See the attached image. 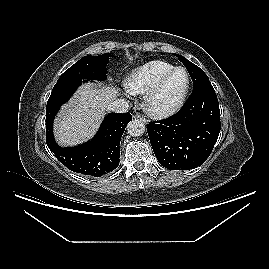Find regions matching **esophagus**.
<instances>
[{
  "instance_id": "34e87169",
  "label": "esophagus",
  "mask_w": 269,
  "mask_h": 269,
  "mask_svg": "<svg viewBox=\"0 0 269 269\" xmlns=\"http://www.w3.org/2000/svg\"><path fill=\"white\" fill-rule=\"evenodd\" d=\"M134 118H135V119H138V120H140V121H142V122L145 123V124L147 123L146 118L143 117L141 114H138V113L135 114V115H134Z\"/></svg>"
}]
</instances>
